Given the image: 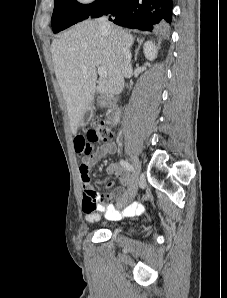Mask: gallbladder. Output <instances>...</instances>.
<instances>
[{
	"instance_id": "1",
	"label": "gallbladder",
	"mask_w": 227,
	"mask_h": 298,
	"mask_svg": "<svg viewBox=\"0 0 227 298\" xmlns=\"http://www.w3.org/2000/svg\"><path fill=\"white\" fill-rule=\"evenodd\" d=\"M92 114H93L92 108L91 106H89L83 115L81 126H85L89 122V120L92 117Z\"/></svg>"
}]
</instances>
